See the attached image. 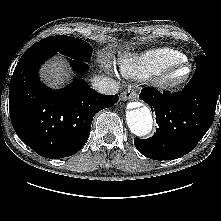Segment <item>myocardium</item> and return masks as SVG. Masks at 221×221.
<instances>
[{
	"label": "myocardium",
	"instance_id": "myocardium-1",
	"mask_svg": "<svg viewBox=\"0 0 221 221\" xmlns=\"http://www.w3.org/2000/svg\"><path fill=\"white\" fill-rule=\"evenodd\" d=\"M185 68L187 73L182 77H177L176 73ZM192 75V68L187 62L175 64L160 72L156 85L162 91L174 90L186 84Z\"/></svg>",
	"mask_w": 221,
	"mask_h": 221
}]
</instances>
